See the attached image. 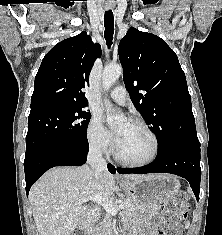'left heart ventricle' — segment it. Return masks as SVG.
Segmentation results:
<instances>
[{
    "label": "left heart ventricle",
    "mask_w": 222,
    "mask_h": 235,
    "mask_svg": "<svg viewBox=\"0 0 222 235\" xmlns=\"http://www.w3.org/2000/svg\"><path fill=\"white\" fill-rule=\"evenodd\" d=\"M117 132L120 134L117 144L123 157L131 161H144L152 156L154 141L145 130L129 122H122Z\"/></svg>",
    "instance_id": "1"
}]
</instances>
